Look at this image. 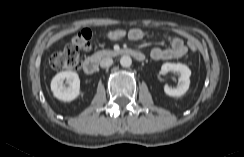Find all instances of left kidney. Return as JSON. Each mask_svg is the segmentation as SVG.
I'll use <instances>...</instances> for the list:
<instances>
[{"instance_id":"5707ae66","label":"left kidney","mask_w":244,"mask_h":157,"mask_svg":"<svg viewBox=\"0 0 244 157\" xmlns=\"http://www.w3.org/2000/svg\"><path fill=\"white\" fill-rule=\"evenodd\" d=\"M161 70L163 73L174 71L180 74L177 88H172L169 86L164 87V92L166 95L180 97L188 91L191 76V70L188 66L181 63H164Z\"/></svg>"}]
</instances>
